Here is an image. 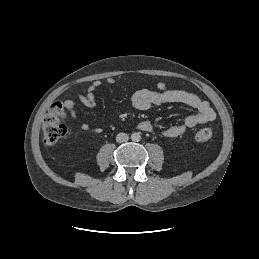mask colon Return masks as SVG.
<instances>
[{"label":"colon","mask_w":259,"mask_h":259,"mask_svg":"<svg viewBox=\"0 0 259 259\" xmlns=\"http://www.w3.org/2000/svg\"><path fill=\"white\" fill-rule=\"evenodd\" d=\"M66 108L62 102L53 103L48 109L43 120V140L44 143L52 146L61 140L67 133L65 124ZM213 132L209 127L201 128L196 132L195 138L198 142L211 140Z\"/></svg>","instance_id":"obj_1"}]
</instances>
